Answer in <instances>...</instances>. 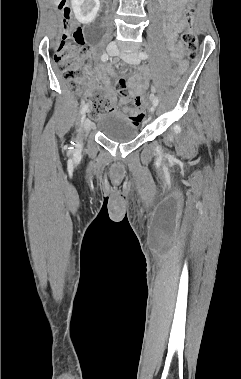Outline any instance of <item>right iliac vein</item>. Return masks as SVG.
Listing matches in <instances>:
<instances>
[{
	"instance_id": "1",
	"label": "right iliac vein",
	"mask_w": 241,
	"mask_h": 379,
	"mask_svg": "<svg viewBox=\"0 0 241 379\" xmlns=\"http://www.w3.org/2000/svg\"><path fill=\"white\" fill-rule=\"evenodd\" d=\"M117 45L115 43H110L108 44L107 46V52L114 56L117 54ZM81 125H82V130L79 134V137H78V142H82L83 140V135L84 133H87L90 131L91 129V124H90V121L86 118V112L83 113L82 115V118H81Z\"/></svg>"
}]
</instances>
